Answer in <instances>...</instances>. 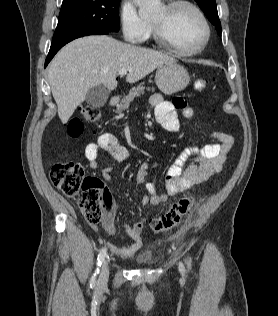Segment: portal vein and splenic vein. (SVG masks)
Listing matches in <instances>:
<instances>
[{
  "mask_svg": "<svg viewBox=\"0 0 278 316\" xmlns=\"http://www.w3.org/2000/svg\"><path fill=\"white\" fill-rule=\"evenodd\" d=\"M127 72H128V70H126V69H121V70L119 71V74H120L121 76H123V75H126Z\"/></svg>",
  "mask_w": 278,
  "mask_h": 316,
  "instance_id": "18ae733b",
  "label": "portal vein and splenic vein"
}]
</instances>
